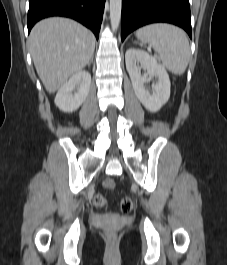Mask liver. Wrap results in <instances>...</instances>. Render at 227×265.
<instances>
[{"instance_id": "6515ba94", "label": "liver", "mask_w": 227, "mask_h": 265, "mask_svg": "<svg viewBox=\"0 0 227 265\" xmlns=\"http://www.w3.org/2000/svg\"><path fill=\"white\" fill-rule=\"evenodd\" d=\"M29 46L38 76L46 90L53 93L89 63L95 37L72 19L52 17L33 27Z\"/></svg>"}]
</instances>
